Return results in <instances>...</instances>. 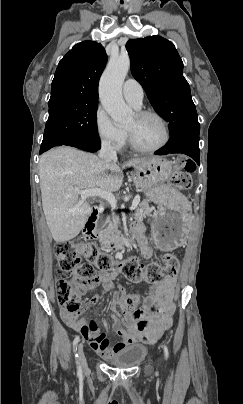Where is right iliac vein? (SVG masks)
<instances>
[{"instance_id": "63e3f726", "label": "right iliac vein", "mask_w": 243, "mask_h": 404, "mask_svg": "<svg viewBox=\"0 0 243 404\" xmlns=\"http://www.w3.org/2000/svg\"><path fill=\"white\" fill-rule=\"evenodd\" d=\"M78 357L81 364V368L85 371L87 370V360L83 351V344L78 345Z\"/></svg>"}]
</instances>
